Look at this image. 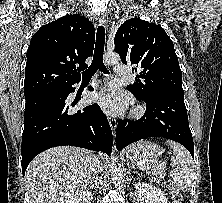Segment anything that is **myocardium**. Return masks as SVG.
<instances>
[{
  "label": "myocardium",
  "instance_id": "obj_1",
  "mask_svg": "<svg viewBox=\"0 0 222 203\" xmlns=\"http://www.w3.org/2000/svg\"><path fill=\"white\" fill-rule=\"evenodd\" d=\"M143 112H144V108L142 106H136L132 110V115L138 116V115H141Z\"/></svg>",
  "mask_w": 222,
  "mask_h": 203
}]
</instances>
